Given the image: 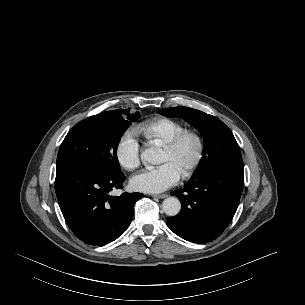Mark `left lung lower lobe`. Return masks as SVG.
<instances>
[{
  "instance_id": "1",
  "label": "left lung lower lobe",
  "mask_w": 305,
  "mask_h": 305,
  "mask_svg": "<svg viewBox=\"0 0 305 305\" xmlns=\"http://www.w3.org/2000/svg\"><path fill=\"white\" fill-rule=\"evenodd\" d=\"M244 183L242 157L227 159L194 174L184 188L172 192L182 203L178 215L166 219L181 238L206 243L216 239L231 222Z\"/></svg>"
}]
</instances>
